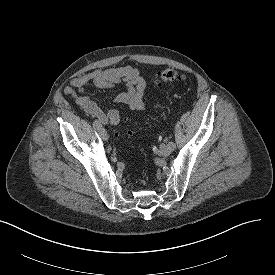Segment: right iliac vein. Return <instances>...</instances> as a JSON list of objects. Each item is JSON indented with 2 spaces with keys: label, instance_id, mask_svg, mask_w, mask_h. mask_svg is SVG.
<instances>
[{
  "label": "right iliac vein",
  "instance_id": "1",
  "mask_svg": "<svg viewBox=\"0 0 275 275\" xmlns=\"http://www.w3.org/2000/svg\"><path fill=\"white\" fill-rule=\"evenodd\" d=\"M98 133H99L100 137H101L103 140L106 141V140L108 139L107 132H106V130H105L104 128L100 127V128L98 129Z\"/></svg>",
  "mask_w": 275,
  "mask_h": 275
}]
</instances>
